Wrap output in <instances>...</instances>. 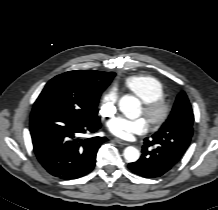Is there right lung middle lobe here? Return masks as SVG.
<instances>
[{"mask_svg": "<svg viewBox=\"0 0 218 210\" xmlns=\"http://www.w3.org/2000/svg\"><path fill=\"white\" fill-rule=\"evenodd\" d=\"M104 88H86L61 74L51 79L33 105V110H59L85 120L99 119L97 105Z\"/></svg>", "mask_w": 218, "mask_h": 210, "instance_id": "dd1d6c3e", "label": "right lung middle lobe"}]
</instances>
